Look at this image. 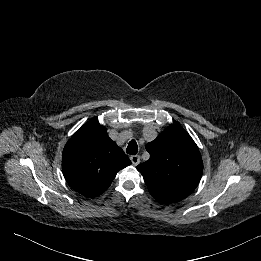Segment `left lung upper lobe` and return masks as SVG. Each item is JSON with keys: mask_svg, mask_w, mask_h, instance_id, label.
Returning a JSON list of instances; mask_svg holds the SVG:
<instances>
[{"mask_svg": "<svg viewBox=\"0 0 261 261\" xmlns=\"http://www.w3.org/2000/svg\"><path fill=\"white\" fill-rule=\"evenodd\" d=\"M146 150L150 159L137 166L152 196H174L181 199L197 187L203 162L196 143L179 125L172 124L160 133Z\"/></svg>", "mask_w": 261, "mask_h": 261, "instance_id": "1", "label": "left lung upper lobe"}]
</instances>
